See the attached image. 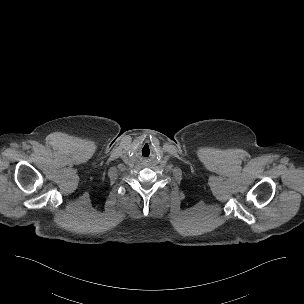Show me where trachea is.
<instances>
[{"instance_id": "obj_1", "label": "trachea", "mask_w": 304, "mask_h": 304, "mask_svg": "<svg viewBox=\"0 0 304 304\" xmlns=\"http://www.w3.org/2000/svg\"><path fill=\"white\" fill-rule=\"evenodd\" d=\"M139 151H140L141 158L148 159L151 156L152 148H151V146L145 144L140 147Z\"/></svg>"}]
</instances>
